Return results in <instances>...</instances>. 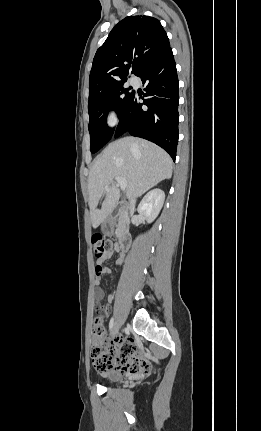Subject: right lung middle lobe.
<instances>
[{"mask_svg": "<svg viewBox=\"0 0 261 431\" xmlns=\"http://www.w3.org/2000/svg\"><path fill=\"white\" fill-rule=\"evenodd\" d=\"M121 81L107 88L89 94V133L91 153L101 149L111 138L114 129H110L106 123L108 111L115 110L120 117L124 112L134 91L124 87Z\"/></svg>", "mask_w": 261, "mask_h": 431, "instance_id": "1", "label": "right lung middle lobe"}]
</instances>
